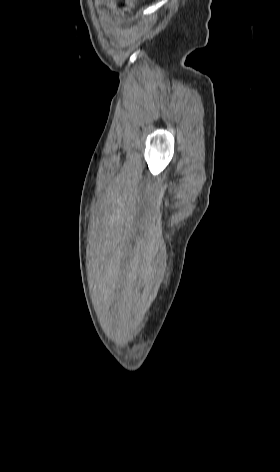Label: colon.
<instances>
[{
	"label": "colon",
	"mask_w": 280,
	"mask_h": 472,
	"mask_svg": "<svg viewBox=\"0 0 280 472\" xmlns=\"http://www.w3.org/2000/svg\"><path fill=\"white\" fill-rule=\"evenodd\" d=\"M135 5H136V0H126L125 8L131 13Z\"/></svg>",
	"instance_id": "colon-1"
}]
</instances>
